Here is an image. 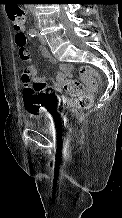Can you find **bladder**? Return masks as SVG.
I'll return each mask as SVG.
<instances>
[{
	"label": "bladder",
	"mask_w": 122,
	"mask_h": 218,
	"mask_svg": "<svg viewBox=\"0 0 122 218\" xmlns=\"http://www.w3.org/2000/svg\"><path fill=\"white\" fill-rule=\"evenodd\" d=\"M46 115L43 113H28L25 116L26 123L29 127L39 131L46 132L49 129V124L45 120Z\"/></svg>",
	"instance_id": "1"
}]
</instances>
